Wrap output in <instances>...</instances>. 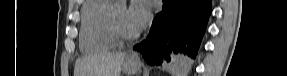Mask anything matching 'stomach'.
<instances>
[{"label":"stomach","mask_w":287,"mask_h":76,"mask_svg":"<svg viewBox=\"0 0 287 76\" xmlns=\"http://www.w3.org/2000/svg\"><path fill=\"white\" fill-rule=\"evenodd\" d=\"M140 67V61L133 56L128 55L123 62L122 71L126 76H134L139 71Z\"/></svg>","instance_id":"1"}]
</instances>
